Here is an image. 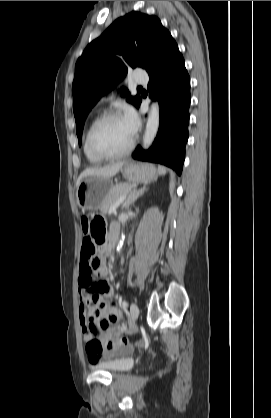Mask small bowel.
Masks as SVG:
<instances>
[{
	"label": "small bowel",
	"mask_w": 271,
	"mask_h": 418,
	"mask_svg": "<svg viewBox=\"0 0 271 418\" xmlns=\"http://www.w3.org/2000/svg\"><path fill=\"white\" fill-rule=\"evenodd\" d=\"M115 229L116 226H113L111 232ZM106 246L107 244L103 243L100 249L104 250ZM76 258L80 260L78 276L80 324L89 362L97 364L129 350L131 346L118 339L122 334V329L119 327L122 314L113 301L111 286L104 280L108 275L105 257L95 255V242L89 241L88 237H81L80 251L76 253ZM87 262H89V273L86 269ZM92 276L100 277L102 280L95 283ZM93 326L99 327V334L96 337L91 333ZM95 339L100 343V348L94 350L89 345Z\"/></svg>",
	"instance_id": "1"
}]
</instances>
